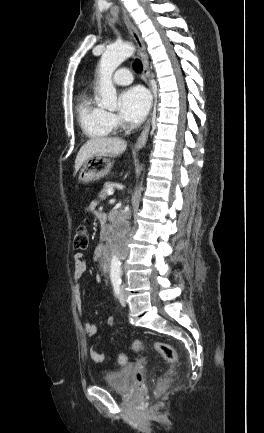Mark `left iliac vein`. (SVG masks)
<instances>
[{
	"mask_svg": "<svg viewBox=\"0 0 264 433\" xmlns=\"http://www.w3.org/2000/svg\"><path fill=\"white\" fill-rule=\"evenodd\" d=\"M119 300H120V303H121L122 306L126 305V297H125V294H124L123 290H121V292H120Z\"/></svg>",
	"mask_w": 264,
	"mask_h": 433,
	"instance_id": "1",
	"label": "left iliac vein"
}]
</instances>
